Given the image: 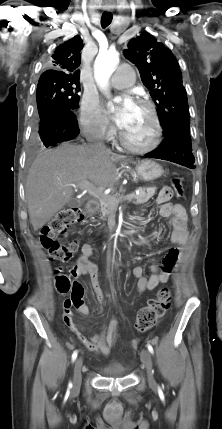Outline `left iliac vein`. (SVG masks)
<instances>
[{
  "label": "left iliac vein",
  "mask_w": 222,
  "mask_h": 429,
  "mask_svg": "<svg viewBox=\"0 0 222 429\" xmlns=\"http://www.w3.org/2000/svg\"><path fill=\"white\" fill-rule=\"evenodd\" d=\"M141 360L145 365L147 376H148V382L150 385L155 384V380L153 377V363H152V357L150 352L147 349H143L141 351Z\"/></svg>",
  "instance_id": "1"
}]
</instances>
